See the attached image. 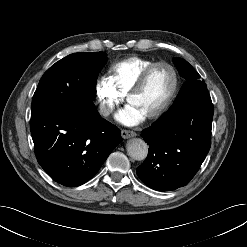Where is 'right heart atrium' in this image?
I'll return each instance as SVG.
<instances>
[{
    "label": "right heart atrium",
    "mask_w": 247,
    "mask_h": 247,
    "mask_svg": "<svg viewBox=\"0 0 247 247\" xmlns=\"http://www.w3.org/2000/svg\"><path fill=\"white\" fill-rule=\"evenodd\" d=\"M94 99L100 115L107 118L122 104L124 96L113 88L108 79L99 78L94 84Z\"/></svg>",
    "instance_id": "right-heart-atrium-1"
}]
</instances>
